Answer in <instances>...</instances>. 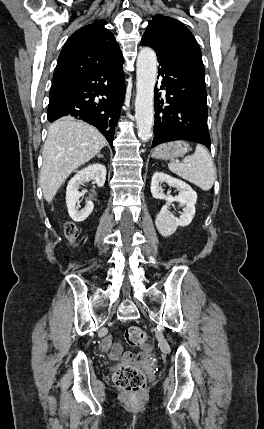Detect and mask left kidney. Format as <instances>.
Segmentation results:
<instances>
[{"mask_svg": "<svg viewBox=\"0 0 264 429\" xmlns=\"http://www.w3.org/2000/svg\"><path fill=\"white\" fill-rule=\"evenodd\" d=\"M161 182L176 188L179 191L178 196L165 195L159 187ZM151 193L155 199L166 200V205L161 208L155 220L156 228L162 236H170L175 233L178 226L184 227L191 223L195 215L197 193L190 185L163 172H155L151 181ZM174 201L184 206L179 217L169 210V204Z\"/></svg>", "mask_w": 264, "mask_h": 429, "instance_id": "left-kidney-1", "label": "left kidney"}]
</instances>
